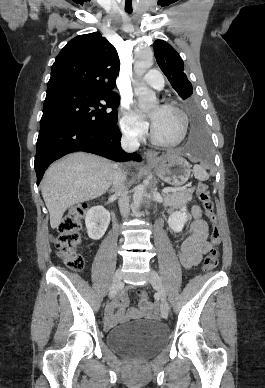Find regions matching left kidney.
<instances>
[{"label": "left kidney", "mask_w": 265, "mask_h": 388, "mask_svg": "<svg viewBox=\"0 0 265 388\" xmlns=\"http://www.w3.org/2000/svg\"><path fill=\"white\" fill-rule=\"evenodd\" d=\"M185 222H187L185 208H181V212H174V214H171L168 218L169 228H171L173 232H182Z\"/></svg>", "instance_id": "left-kidney-1"}]
</instances>
